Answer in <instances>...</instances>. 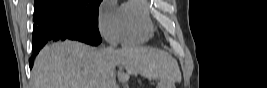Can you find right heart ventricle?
Returning a JSON list of instances; mask_svg holds the SVG:
<instances>
[{
    "instance_id": "right-heart-ventricle-1",
    "label": "right heart ventricle",
    "mask_w": 267,
    "mask_h": 88,
    "mask_svg": "<svg viewBox=\"0 0 267 88\" xmlns=\"http://www.w3.org/2000/svg\"><path fill=\"white\" fill-rule=\"evenodd\" d=\"M122 43L139 45L154 34V26L147 1L131 0L121 7Z\"/></svg>"
}]
</instances>
